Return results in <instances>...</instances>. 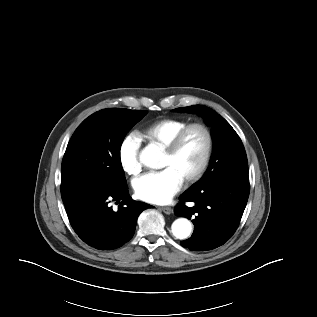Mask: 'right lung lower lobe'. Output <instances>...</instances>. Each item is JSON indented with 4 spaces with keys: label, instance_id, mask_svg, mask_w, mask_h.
<instances>
[{
    "label": "right lung lower lobe",
    "instance_id": "obj_1",
    "mask_svg": "<svg viewBox=\"0 0 317 317\" xmlns=\"http://www.w3.org/2000/svg\"><path fill=\"white\" fill-rule=\"evenodd\" d=\"M119 203L118 210L109 207ZM70 224L88 245L111 250L128 242L136 228L139 214L151 205L132 200L127 185L97 184L65 202Z\"/></svg>",
    "mask_w": 317,
    "mask_h": 317
}]
</instances>
